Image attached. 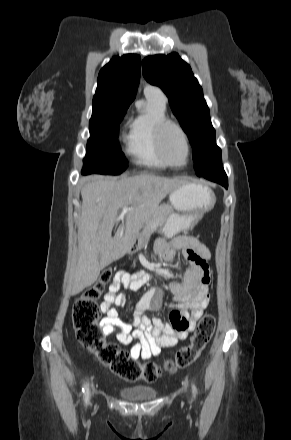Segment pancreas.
<instances>
[{
  "label": "pancreas",
  "mask_w": 291,
  "mask_h": 440,
  "mask_svg": "<svg viewBox=\"0 0 291 440\" xmlns=\"http://www.w3.org/2000/svg\"><path fill=\"white\" fill-rule=\"evenodd\" d=\"M173 212V208L170 205L162 204L152 214L149 220H147L142 228L141 233L138 235V241L143 244L145 240L155 231L157 227H161L166 222L168 216Z\"/></svg>",
  "instance_id": "obj_1"
}]
</instances>
